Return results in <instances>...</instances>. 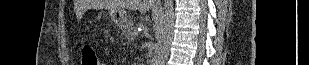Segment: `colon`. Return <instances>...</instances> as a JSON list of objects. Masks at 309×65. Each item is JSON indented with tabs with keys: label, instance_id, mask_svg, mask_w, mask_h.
<instances>
[{
	"label": "colon",
	"instance_id": "colon-1",
	"mask_svg": "<svg viewBox=\"0 0 309 65\" xmlns=\"http://www.w3.org/2000/svg\"><path fill=\"white\" fill-rule=\"evenodd\" d=\"M82 65H101L93 46L83 44L81 46Z\"/></svg>",
	"mask_w": 309,
	"mask_h": 65
}]
</instances>
